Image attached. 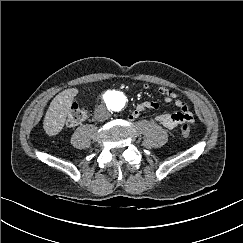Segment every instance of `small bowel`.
Returning <instances> with one entry per match:
<instances>
[{"instance_id": "c3829d8e", "label": "small bowel", "mask_w": 243, "mask_h": 243, "mask_svg": "<svg viewBox=\"0 0 243 243\" xmlns=\"http://www.w3.org/2000/svg\"><path fill=\"white\" fill-rule=\"evenodd\" d=\"M145 90L150 88L148 83L143 85ZM159 93L163 96V99L166 103L173 102L179 111L174 113H166L160 114L156 116V121L160 123L162 126L168 129L175 128L176 126L183 124L184 122H188L190 124L193 123V115L189 110L187 103L181 99L178 94H176L173 90L166 86H161L159 88ZM159 107V104L155 101H146L143 102L135 108L132 112V118H137L140 114L148 111L155 110Z\"/></svg>"}]
</instances>
